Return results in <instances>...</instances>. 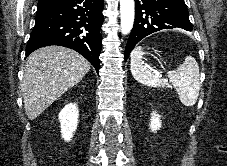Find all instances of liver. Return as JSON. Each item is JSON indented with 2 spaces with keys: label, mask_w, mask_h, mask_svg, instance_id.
Returning a JSON list of instances; mask_svg holds the SVG:
<instances>
[{
  "label": "liver",
  "mask_w": 227,
  "mask_h": 166,
  "mask_svg": "<svg viewBox=\"0 0 227 166\" xmlns=\"http://www.w3.org/2000/svg\"><path fill=\"white\" fill-rule=\"evenodd\" d=\"M90 63L76 51L62 46L37 49L27 58L22 81L25 113L36 119L68 89L78 84Z\"/></svg>",
  "instance_id": "1"
}]
</instances>
